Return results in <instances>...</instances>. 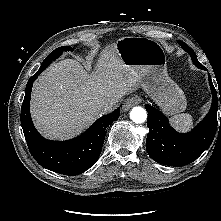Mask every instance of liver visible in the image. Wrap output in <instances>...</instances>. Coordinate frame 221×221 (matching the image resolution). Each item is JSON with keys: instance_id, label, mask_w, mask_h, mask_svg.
<instances>
[{"instance_id": "1", "label": "liver", "mask_w": 221, "mask_h": 221, "mask_svg": "<svg viewBox=\"0 0 221 221\" xmlns=\"http://www.w3.org/2000/svg\"><path fill=\"white\" fill-rule=\"evenodd\" d=\"M139 87L135 70L110 45L100 53L91 74L73 59L62 60L42 74L33 87L31 115L45 137L70 139L105 113L102 101L120 100Z\"/></svg>"}]
</instances>
